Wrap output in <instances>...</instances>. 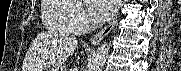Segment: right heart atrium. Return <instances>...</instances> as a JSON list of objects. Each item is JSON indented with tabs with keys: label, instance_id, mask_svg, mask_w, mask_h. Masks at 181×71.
I'll list each match as a JSON object with an SVG mask.
<instances>
[{
	"label": "right heart atrium",
	"instance_id": "obj_1",
	"mask_svg": "<svg viewBox=\"0 0 181 71\" xmlns=\"http://www.w3.org/2000/svg\"><path fill=\"white\" fill-rule=\"evenodd\" d=\"M72 5V10L68 15V20L72 31L75 34L86 31L91 24L89 17L87 16L84 8L77 0H64Z\"/></svg>",
	"mask_w": 181,
	"mask_h": 71
}]
</instances>
